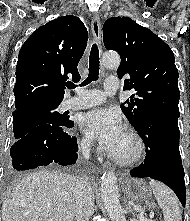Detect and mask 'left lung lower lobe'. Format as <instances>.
<instances>
[{"instance_id":"left-lung-lower-lobe-1","label":"left lung lower lobe","mask_w":190,"mask_h":221,"mask_svg":"<svg viewBox=\"0 0 190 221\" xmlns=\"http://www.w3.org/2000/svg\"><path fill=\"white\" fill-rule=\"evenodd\" d=\"M146 145V158L130 171L133 177H150L169 186L185 207L184 169L179 152L178 117L155 114L136 129Z\"/></svg>"}]
</instances>
